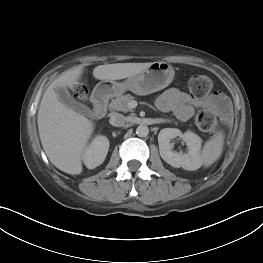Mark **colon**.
I'll list each match as a JSON object with an SVG mask.
<instances>
[{
	"label": "colon",
	"mask_w": 263,
	"mask_h": 263,
	"mask_svg": "<svg viewBox=\"0 0 263 263\" xmlns=\"http://www.w3.org/2000/svg\"><path fill=\"white\" fill-rule=\"evenodd\" d=\"M213 87V82L210 77L206 75H194L188 81V88L191 94L203 99L207 97ZM85 95V89L78 87L75 90V97H82ZM195 123L202 131L214 134L216 132L217 119L214 113L202 110L195 116Z\"/></svg>",
	"instance_id": "colon-1"
}]
</instances>
